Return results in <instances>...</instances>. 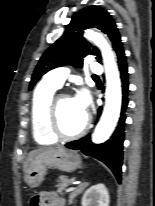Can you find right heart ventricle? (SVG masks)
I'll return each mask as SVG.
<instances>
[{"mask_svg": "<svg viewBox=\"0 0 155 206\" xmlns=\"http://www.w3.org/2000/svg\"><path fill=\"white\" fill-rule=\"evenodd\" d=\"M56 89L55 86L43 81L33 94L30 111L32 134L40 145H49L56 141L47 124L48 106Z\"/></svg>", "mask_w": 155, "mask_h": 206, "instance_id": "right-heart-ventricle-1", "label": "right heart ventricle"}]
</instances>
